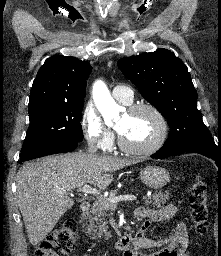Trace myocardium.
Listing matches in <instances>:
<instances>
[{"label":"myocardium","instance_id":"obj_1","mask_svg":"<svg viewBox=\"0 0 221 256\" xmlns=\"http://www.w3.org/2000/svg\"><path fill=\"white\" fill-rule=\"evenodd\" d=\"M151 112L158 121L159 133L156 139L148 146L145 147H133L128 145L120 132L118 131V144L122 151L132 155H150L158 151L166 142L169 134V124L167 118L163 112L154 104L151 103H137L128 107L127 112L129 114H135L139 111Z\"/></svg>","mask_w":221,"mask_h":256}]
</instances>
